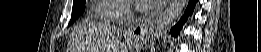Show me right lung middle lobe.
<instances>
[{"mask_svg":"<svg viewBox=\"0 0 261 52\" xmlns=\"http://www.w3.org/2000/svg\"><path fill=\"white\" fill-rule=\"evenodd\" d=\"M84 3H85L84 0H77L76 2L73 3L72 17L69 22V25H71L77 19V17L84 11L85 9Z\"/></svg>","mask_w":261,"mask_h":52,"instance_id":"1","label":"right lung middle lobe"}]
</instances>
